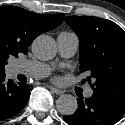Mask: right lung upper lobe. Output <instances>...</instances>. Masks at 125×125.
<instances>
[{
    "label": "right lung upper lobe",
    "instance_id": "obj_1",
    "mask_svg": "<svg viewBox=\"0 0 125 125\" xmlns=\"http://www.w3.org/2000/svg\"><path fill=\"white\" fill-rule=\"evenodd\" d=\"M64 14L44 15L15 6H0V74L9 57L27 53V47L42 33L59 26Z\"/></svg>",
    "mask_w": 125,
    "mask_h": 125
}]
</instances>
